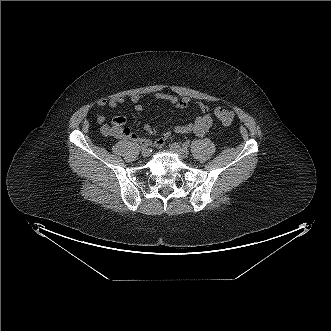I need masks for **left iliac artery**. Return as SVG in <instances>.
Listing matches in <instances>:
<instances>
[{
  "label": "left iliac artery",
  "instance_id": "44dca946",
  "mask_svg": "<svg viewBox=\"0 0 331 331\" xmlns=\"http://www.w3.org/2000/svg\"><path fill=\"white\" fill-rule=\"evenodd\" d=\"M189 146H190L189 142H184V143H183V147L187 148V147H189Z\"/></svg>",
  "mask_w": 331,
  "mask_h": 331
}]
</instances>
